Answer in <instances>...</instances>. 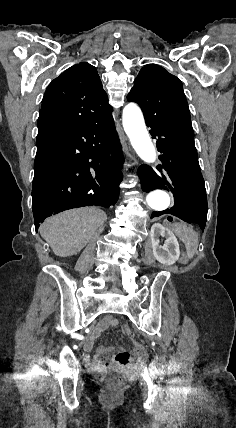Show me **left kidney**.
<instances>
[{
    "label": "left kidney",
    "mask_w": 236,
    "mask_h": 428,
    "mask_svg": "<svg viewBox=\"0 0 236 428\" xmlns=\"http://www.w3.org/2000/svg\"><path fill=\"white\" fill-rule=\"evenodd\" d=\"M150 234L154 258L160 264H166V266L175 264L180 256V250L177 238H175L173 232L168 230V228H164L161 224H153ZM160 236L166 238L164 246H160Z\"/></svg>",
    "instance_id": "left-kidney-1"
}]
</instances>
